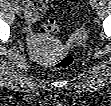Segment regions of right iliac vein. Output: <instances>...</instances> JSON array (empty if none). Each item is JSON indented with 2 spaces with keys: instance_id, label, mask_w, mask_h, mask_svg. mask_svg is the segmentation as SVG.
I'll list each match as a JSON object with an SVG mask.
<instances>
[{
  "instance_id": "obj_1",
  "label": "right iliac vein",
  "mask_w": 111,
  "mask_h": 106,
  "mask_svg": "<svg viewBox=\"0 0 111 106\" xmlns=\"http://www.w3.org/2000/svg\"><path fill=\"white\" fill-rule=\"evenodd\" d=\"M14 11L16 12V14H21L22 13V8L19 5H15L14 6Z\"/></svg>"
}]
</instances>
